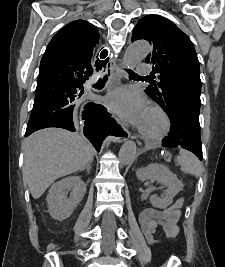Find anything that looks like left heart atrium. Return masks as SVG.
I'll return each instance as SVG.
<instances>
[{
    "instance_id": "obj_1",
    "label": "left heart atrium",
    "mask_w": 225,
    "mask_h": 267,
    "mask_svg": "<svg viewBox=\"0 0 225 267\" xmlns=\"http://www.w3.org/2000/svg\"><path fill=\"white\" fill-rule=\"evenodd\" d=\"M106 102L119 117L140 128L148 110L142 94L129 87H119L109 92Z\"/></svg>"
}]
</instances>
